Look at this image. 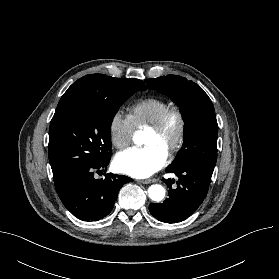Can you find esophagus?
I'll list each match as a JSON object with an SVG mask.
<instances>
[{
  "mask_svg": "<svg viewBox=\"0 0 279 279\" xmlns=\"http://www.w3.org/2000/svg\"><path fill=\"white\" fill-rule=\"evenodd\" d=\"M156 179H146V180H138V183H142V184H150L155 182Z\"/></svg>",
  "mask_w": 279,
  "mask_h": 279,
  "instance_id": "esophagus-1",
  "label": "esophagus"
}]
</instances>
